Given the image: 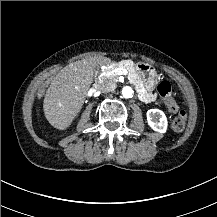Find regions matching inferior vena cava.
I'll return each mask as SVG.
<instances>
[{
  "label": "inferior vena cava",
  "mask_w": 217,
  "mask_h": 217,
  "mask_svg": "<svg viewBox=\"0 0 217 217\" xmlns=\"http://www.w3.org/2000/svg\"><path fill=\"white\" fill-rule=\"evenodd\" d=\"M97 89H101L104 92H108V88L106 86L97 87Z\"/></svg>",
  "instance_id": "obj_1"
}]
</instances>
